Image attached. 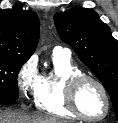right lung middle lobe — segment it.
I'll use <instances>...</instances> for the list:
<instances>
[{"label": "right lung middle lobe", "instance_id": "1", "mask_svg": "<svg viewBox=\"0 0 118 123\" xmlns=\"http://www.w3.org/2000/svg\"><path fill=\"white\" fill-rule=\"evenodd\" d=\"M26 61L20 57L0 55V101L18 99L17 75Z\"/></svg>", "mask_w": 118, "mask_h": 123}]
</instances>
